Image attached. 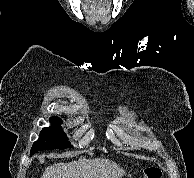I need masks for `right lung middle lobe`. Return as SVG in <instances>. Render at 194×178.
Returning <instances> with one entry per match:
<instances>
[{"instance_id":"right-lung-middle-lobe-1","label":"right lung middle lobe","mask_w":194,"mask_h":178,"mask_svg":"<svg viewBox=\"0 0 194 178\" xmlns=\"http://www.w3.org/2000/svg\"><path fill=\"white\" fill-rule=\"evenodd\" d=\"M50 121L51 126L42 129L39 139L34 142L31 148L30 155L41 150L66 149L72 147L71 143L68 142L66 134L63 132L62 128L59 127L62 120L58 117H51Z\"/></svg>"}]
</instances>
